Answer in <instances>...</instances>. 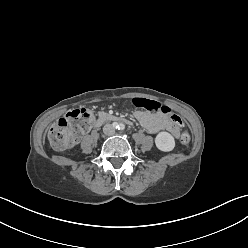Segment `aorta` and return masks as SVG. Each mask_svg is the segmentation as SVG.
Wrapping results in <instances>:
<instances>
[{
    "instance_id": "1",
    "label": "aorta",
    "mask_w": 248,
    "mask_h": 248,
    "mask_svg": "<svg viewBox=\"0 0 248 248\" xmlns=\"http://www.w3.org/2000/svg\"><path fill=\"white\" fill-rule=\"evenodd\" d=\"M116 127H117L118 129H123V128H124V125H123L122 123H119V124L116 125Z\"/></svg>"
}]
</instances>
